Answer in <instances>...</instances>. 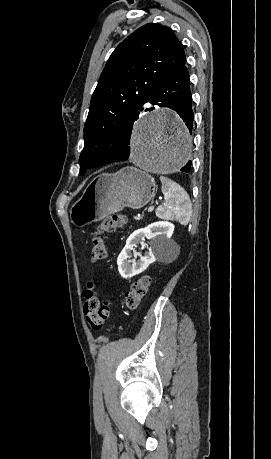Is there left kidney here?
<instances>
[{"label":"left kidney","instance_id":"5707ae66","mask_svg":"<svg viewBox=\"0 0 271 459\" xmlns=\"http://www.w3.org/2000/svg\"><path fill=\"white\" fill-rule=\"evenodd\" d=\"M173 229L174 226L170 222H154V224H150L147 228L135 229L129 235L128 239H126V245H124L118 255V271L122 277L130 279L133 275H137V273H141V271L147 269L149 263L155 261V253L158 255V253L166 251L168 247L167 241H169ZM144 237H151L148 251H146L145 255H141V259H138V261L130 259L132 257L131 251L136 247L137 241H141Z\"/></svg>","mask_w":271,"mask_h":459}]
</instances>
